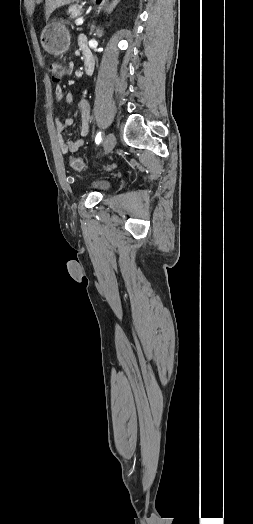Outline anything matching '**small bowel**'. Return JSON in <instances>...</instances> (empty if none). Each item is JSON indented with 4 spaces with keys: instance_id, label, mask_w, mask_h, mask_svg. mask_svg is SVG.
<instances>
[{
    "instance_id": "obj_1",
    "label": "small bowel",
    "mask_w": 253,
    "mask_h": 524,
    "mask_svg": "<svg viewBox=\"0 0 253 524\" xmlns=\"http://www.w3.org/2000/svg\"><path fill=\"white\" fill-rule=\"evenodd\" d=\"M81 53L83 54L85 58V62H89L94 66V60L89 52V50L85 47L83 44V40L81 41ZM69 69H67L66 74L69 77L74 76L75 71L74 67L75 64L73 62H70L68 64ZM55 96L58 101L69 103L75 98L74 93L65 94L61 86H57L55 90ZM79 111L81 116V127H80V138L76 141H65L64 140V134L68 128H70L73 125L74 120L70 117L68 118H56V131L58 135V139L60 142V147L63 155L68 156L71 153L76 152L79 148H81L84 143L85 139L88 136L89 133V124L91 120L90 115V104L89 101L83 97L80 99L79 104Z\"/></svg>"
}]
</instances>
